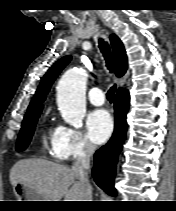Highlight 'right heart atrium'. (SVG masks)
Listing matches in <instances>:
<instances>
[{
	"label": "right heart atrium",
	"instance_id": "d8ad5b80",
	"mask_svg": "<svg viewBox=\"0 0 176 211\" xmlns=\"http://www.w3.org/2000/svg\"><path fill=\"white\" fill-rule=\"evenodd\" d=\"M95 147L88 136L80 130L69 126H59L53 153L61 160H74L89 156Z\"/></svg>",
	"mask_w": 176,
	"mask_h": 211
}]
</instances>
